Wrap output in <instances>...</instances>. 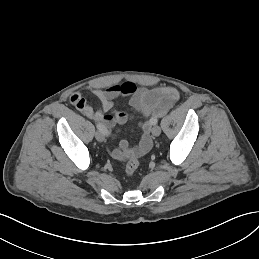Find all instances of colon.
I'll list each match as a JSON object with an SVG mask.
<instances>
[{"mask_svg": "<svg viewBox=\"0 0 259 259\" xmlns=\"http://www.w3.org/2000/svg\"><path fill=\"white\" fill-rule=\"evenodd\" d=\"M139 167V160L137 157L130 158L125 165V174L128 176L133 175Z\"/></svg>", "mask_w": 259, "mask_h": 259, "instance_id": "colon-1", "label": "colon"}]
</instances>
